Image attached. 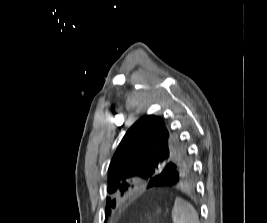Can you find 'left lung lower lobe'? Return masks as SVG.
Returning a JSON list of instances; mask_svg holds the SVG:
<instances>
[{"label":"left lung lower lobe","instance_id":"0a47b994","mask_svg":"<svg viewBox=\"0 0 267 223\" xmlns=\"http://www.w3.org/2000/svg\"><path fill=\"white\" fill-rule=\"evenodd\" d=\"M192 176H196V171H163V173H153V180L145 182L143 190H152L160 195L178 194V190L194 189Z\"/></svg>","mask_w":267,"mask_h":223}]
</instances>
